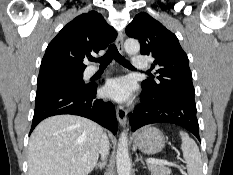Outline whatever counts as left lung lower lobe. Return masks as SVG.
<instances>
[{"instance_id": "left-lung-lower-lobe-1", "label": "left lung lower lobe", "mask_w": 233, "mask_h": 175, "mask_svg": "<svg viewBox=\"0 0 233 175\" xmlns=\"http://www.w3.org/2000/svg\"><path fill=\"white\" fill-rule=\"evenodd\" d=\"M131 130L153 123H172L192 132L200 141L194 94L174 92L153 97L143 91L141 103L130 116Z\"/></svg>"}]
</instances>
